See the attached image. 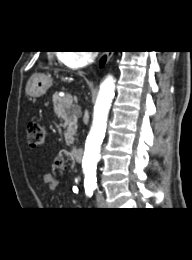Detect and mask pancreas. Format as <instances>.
<instances>
[{"label": "pancreas", "mask_w": 192, "mask_h": 260, "mask_svg": "<svg viewBox=\"0 0 192 260\" xmlns=\"http://www.w3.org/2000/svg\"><path fill=\"white\" fill-rule=\"evenodd\" d=\"M54 112L56 116L63 122L65 130V141L67 145L74 143L76 135L77 120L81 116L80 108L76 105L68 106L65 102V97H60L58 93L53 95Z\"/></svg>", "instance_id": "1"}]
</instances>
